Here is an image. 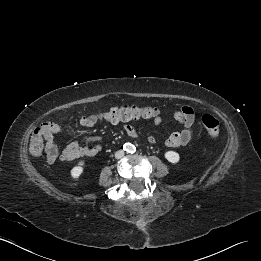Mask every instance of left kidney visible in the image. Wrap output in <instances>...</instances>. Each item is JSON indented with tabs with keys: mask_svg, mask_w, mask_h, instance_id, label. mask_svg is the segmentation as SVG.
<instances>
[{
	"mask_svg": "<svg viewBox=\"0 0 261 261\" xmlns=\"http://www.w3.org/2000/svg\"><path fill=\"white\" fill-rule=\"evenodd\" d=\"M164 157L166 158V160L170 163H177L179 160H180V156L177 152L175 151H167L165 154H164Z\"/></svg>",
	"mask_w": 261,
	"mask_h": 261,
	"instance_id": "left-kidney-1",
	"label": "left kidney"
}]
</instances>
